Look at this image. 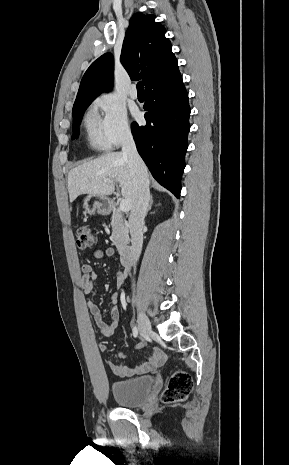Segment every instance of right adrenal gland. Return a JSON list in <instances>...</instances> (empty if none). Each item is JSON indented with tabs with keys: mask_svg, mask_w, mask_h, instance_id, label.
Segmentation results:
<instances>
[{
	"mask_svg": "<svg viewBox=\"0 0 289 465\" xmlns=\"http://www.w3.org/2000/svg\"><path fill=\"white\" fill-rule=\"evenodd\" d=\"M152 205H153V196L150 197V202H149V205H148V209H147L146 215H147L148 212L151 210ZM158 205H160V203H159Z\"/></svg>",
	"mask_w": 289,
	"mask_h": 465,
	"instance_id": "right-adrenal-gland-1",
	"label": "right adrenal gland"
}]
</instances>
